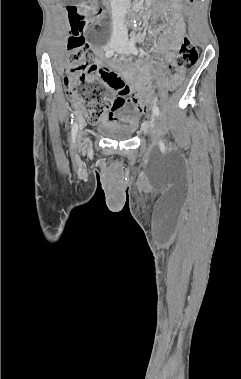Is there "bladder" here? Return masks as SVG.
<instances>
[{
	"label": "bladder",
	"instance_id": "1",
	"mask_svg": "<svg viewBox=\"0 0 241 379\" xmlns=\"http://www.w3.org/2000/svg\"><path fill=\"white\" fill-rule=\"evenodd\" d=\"M100 131L115 140H127L132 137L133 130L114 121H107L101 125Z\"/></svg>",
	"mask_w": 241,
	"mask_h": 379
}]
</instances>
